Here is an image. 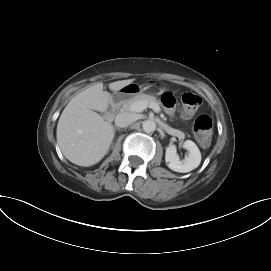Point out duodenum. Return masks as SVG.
Listing matches in <instances>:
<instances>
[{"mask_svg":"<svg viewBox=\"0 0 271 271\" xmlns=\"http://www.w3.org/2000/svg\"><path fill=\"white\" fill-rule=\"evenodd\" d=\"M124 99V94H121V93H118L116 94L113 98H112V101H111V108L108 112V117L109 118H112L116 111L118 110L121 102L123 101Z\"/></svg>","mask_w":271,"mask_h":271,"instance_id":"obj_1","label":"duodenum"}]
</instances>
